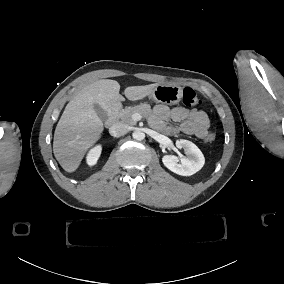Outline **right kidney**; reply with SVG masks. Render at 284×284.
<instances>
[{"instance_id": "1", "label": "right kidney", "mask_w": 284, "mask_h": 284, "mask_svg": "<svg viewBox=\"0 0 284 284\" xmlns=\"http://www.w3.org/2000/svg\"><path fill=\"white\" fill-rule=\"evenodd\" d=\"M100 155V148L97 147L94 150L91 151L89 157H88V163L90 165L94 164L97 161V158Z\"/></svg>"}]
</instances>
